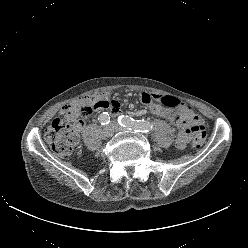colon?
Returning <instances> with one entry per match:
<instances>
[{
    "label": "colon",
    "mask_w": 248,
    "mask_h": 248,
    "mask_svg": "<svg viewBox=\"0 0 248 248\" xmlns=\"http://www.w3.org/2000/svg\"><path fill=\"white\" fill-rule=\"evenodd\" d=\"M154 100L161 105L176 109L182 103L172 96H154ZM98 103L88 96L83 98L74 111L68 112L61 118H56L46 128L45 141L49 148L59 157L68 158L72 155L75 146L79 139V125L82 120L89 117L92 112L97 109ZM206 137L205 126L199 123L194 128V138L192 147L195 149L200 148Z\"/></svg>",
    "instance_id": "1"
}]
</instances>
